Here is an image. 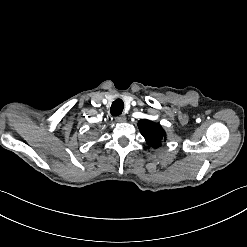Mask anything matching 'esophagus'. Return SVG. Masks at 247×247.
<instances>
[{"mask_svg": "<svg viewBox=\"0 0 247 247\" xmlns=\"http://www.w3.org/2000/svg\"><path fill=\"white\" fill-rule=\"evenodd\" d=\"M116 121L117 122H125L126 121V116L125 115H120L118 117H116Z\"/></svg>", "mask_w": 247, "mask_h": 247, "instance_id": "esophagus-1", "label": "esophagus"}]
</instances>
